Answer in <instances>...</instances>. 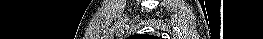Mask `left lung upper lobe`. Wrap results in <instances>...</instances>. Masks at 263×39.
Masks as SVG:
<instances>
[{"label": "left lung upper lobe", "mask_w": 263, "mask_h": 39, "mask_svg": "<svg viewBox=\"0 0 263 39\" xmlns=\"http://www.w3.org/2000/svg\"><path fill=\"white\" fill-rule=\"evenodd\" d=\"M128 39H159V37L153 35L136 34L128 37Z\"/></svg>", "instance_id": "left-lung-upper-lobe-1"}]
</instances>
